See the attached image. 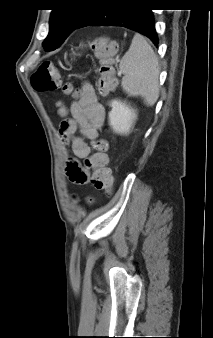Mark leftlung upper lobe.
<instances>
[{
	"instance_id": "1",
	"label": "left lung upper lobe",
	"mask_w": 213,
	"mask_h": 338,
	"mask_svg": "<svg viewBox=\"0 0 213 338\" xmlns=\"http://www.w3.org/2000/svg\"><path fill=\"white\" fill-rule=\"evenodd\" d=\"M108 0H55L49 34L43 42L48 50L60 47L79 22L98 4Z\"/></svg>"
}]
</instances>
